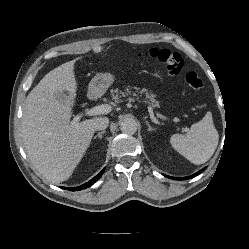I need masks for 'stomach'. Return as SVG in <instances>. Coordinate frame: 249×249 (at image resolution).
<instances>
[{
    "instance_id": "1",
    "label": "stomach",
    "mask_w": 249,
    "mask_h": 249,
    "mask_svg": "<svg viewBox=\"0 0 249 249\" xmlns=\"http://www.w3.org/2000/svg\"><path fill=\"white\" fill-rule=\"evenodd\" d=\"M114 82V76L110 73H101L94 76L89 83V90L93 93H104Z\"/></svg>"
}]
</instances>
